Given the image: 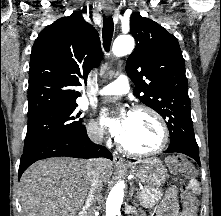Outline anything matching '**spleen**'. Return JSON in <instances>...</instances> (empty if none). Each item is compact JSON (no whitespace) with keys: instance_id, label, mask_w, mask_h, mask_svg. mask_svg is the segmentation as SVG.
<instances>
[{"instance_id":"3e777b00","label":"spleen","mask_w":221,"mask_h":216,"mask_svg":"<svg viewBox=\"0 0 221 216\" xmlns=\"http://www.w3.org/2000/svg\"><path fill=\"white\" fill-rule=\"evenodd\" d=\"M190 186L193 188L194 192L198 193V191H199V183L195 179H192L190 181Z\"/></svg>"}]
</instances>
